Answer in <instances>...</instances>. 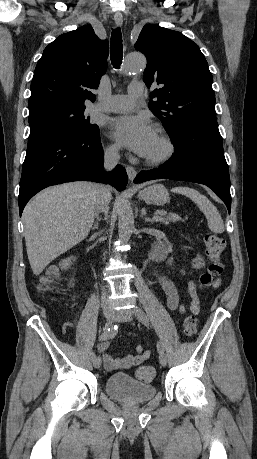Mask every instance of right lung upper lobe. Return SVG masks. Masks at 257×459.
Returning a JSON list of instances; mask_svg holds the SVG:
<instances>
[{"instance_id":"right-lung-upper-lobe-1","label":"right lung upper lobe","mask_w":257,"mask_h":459,"mask_svg":"<svg viewBox=\"0 0 257 459\" xmlns=\"http://www.w3.org/2000/svg\"><path fill=\"white\" fill-rule=\"evenodd\" d=\"M109 43L100 40L90 25L60 35L49 44L31 83L28 106L31 111L51 106L85 107L95 101L97 89L107 69Z\"/></svg>"}]
</instances>
